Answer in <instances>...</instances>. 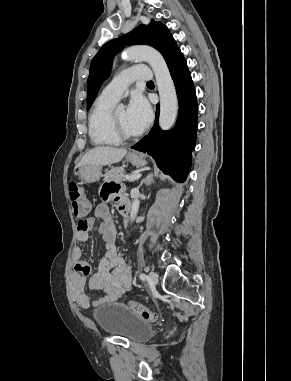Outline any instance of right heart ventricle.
Segmentation results:
<instances>
[{
    "mask_svg": "<svg viewBox=\"0 0 291 381\" xmlns=\"http://www.w3.org/2000/svg\"><path fill=\"white\" fill-rule=\"evenodd\" d=\"M116 101L99 96L88 116V134L95 146H117L121 143L111 130L110 114Z\"/></svg>",
    "mask_w": 291,
    "mask_h": 381,
    "instance_id": "obj_1",
    "label": "right heart ventricle"
}]
</instances>
